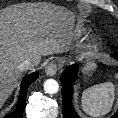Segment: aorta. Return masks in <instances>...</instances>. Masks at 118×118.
Here are the masks:
<instances>
[{
  "instance_id": "1",
  "label": "aorta",
  "mask_w": 118,
  "mask_h": 118,
  "mask_svg": "<svg viewBox=\"0 0 118 118\" xmlns=\"http://www.w3.org/2000/svg\"><path fill=\"white\" fill-rule=\"evenodd\" d=\"M44 90L48 94H56L59 91V84L54 79H49L44 83Z\"/></svg>"
}]
</instances>
